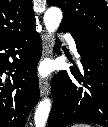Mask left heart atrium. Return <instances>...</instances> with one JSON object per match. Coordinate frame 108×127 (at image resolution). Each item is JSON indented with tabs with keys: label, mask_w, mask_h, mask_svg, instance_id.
I'll return each instance as SVG.
<instances>
[{
	"label": "left heart atrium",
	"mask_w": 108,
	"mask_h": 127,
	"mask_svg": "<svg viewBox=\"0 0 108 127\" xmlns=\"http://www.w3.org/2000/svg\"><path fill=\"white\" fill-rule=\"evenodd\" d=\"M49 72H50V67H49L47 64H43V65H41V67L39 68V73H40L42 76L48 75Z\"/></svg>",
	"instance_id": "39dd6f15"
}]
</instances>
